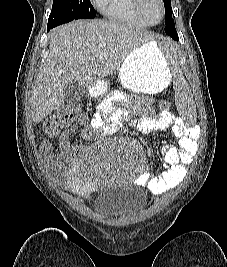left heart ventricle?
Returning <instances> with one entry per match:
<instances>
[{"label": "left heart ventricle", "mask_w": 227, "mask_h": 267, "mask_svg": "<svg viewBox=\"0 0 227 267\" xmlns=\"http://www.w3.org/2000/svg\"><path fill=\"white\" fill-rule=\"evenodd\" d=\"M145 11L150 21L156 22L160 19L161 9L157 0H146Z\"/></svg>", "instance_id": "b2bd125f"}]
</instances>
